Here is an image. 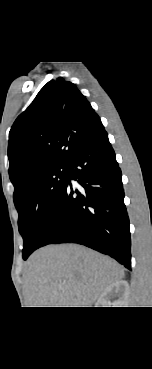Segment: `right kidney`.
<instances>
[{"mask_svg":"<svg viewBox=\"0 0 152 369\" xmlns=\"http://www.w3.org/2000/svg\"><path fill=\"white\" fill-rule=\"evenodd\" d=\"M129 284L125 280H119L108 286L97 300L96 307H127ZM115 295L117 299L111 303L110 297ZM112 305V306H111Z\"/></svg>","mask_w":152,"mask_h":369,"instance_id":"ca27d5eb","label":"right kidney"}]
</instances>
